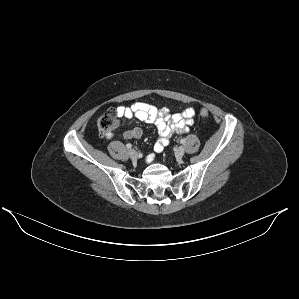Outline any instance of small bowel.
Returning a JSON list of instances; mask_svg holds the SVG:
<instances>
[{
  "label": "small bowel",
  "instance_id": "1",
  "mask_svg": "<svg viewBox=\"0 0 299 299\" xmlns=\"http://www.w3.org/2000/svg\"><path fill=\"white\" fill-rule=\"evenodd\" d=\"M115 111L119 117H135L141 121L155 124L159 136L154 144V153L147 158L148 162L153 161L156 154H160L164 151L169 145L173 135L188 132L194 116V111L191 108L169 116L166 108L159 109L153 105L141 102L131 106H117ZM142 134L141 128L132 127L124 131L122 137L126 139H139ZM107 136L112 137L113 134H108Z\"/></svg>",
  "mask_w": 299,
  "mask_h": 299
}]
</instances>
